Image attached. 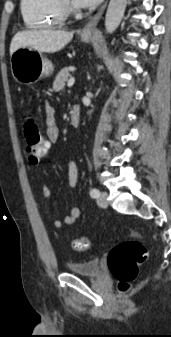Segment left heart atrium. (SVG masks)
I'll use <instances>...</instances> for the list:
<instances>
[{"mask_svg":"<svg viewBox=\"0 0 171 337\" xmlns=\"http://www.w3.org/2000/svg\"><path fill=\"white\" fill-rule=\"evenodd\" d=\"M78 7H92L97 5L101 0H72Z\"/></svg>","mask_w":171,"mask_h":337,"instance_id":"obj_1","label":"left heart atrium"}]
</instances>
